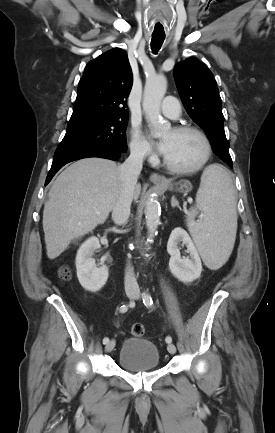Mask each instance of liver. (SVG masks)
<instances>
[{
	"label": "liver",
	"instance_id": "6515ba94",
	"mask_svg": "<svg viewBox=\"0 0 275 433\" xmlns=\"http://www.w3.org/2000/svg\"><path fill=\"white\" fill-rule=\"evenodd\" d=\"M121 188L119 166L108 159H81L61 172L51 186L43 211L48 258H57L72 240L103 224ZM140 192L141 185L136 184L134 200Z\"/></svg>",
	"mask_w": 275,
	"mask_h": 433
}]
</instances>
